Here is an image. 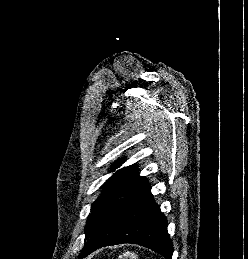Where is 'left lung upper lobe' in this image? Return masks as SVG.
<instances>
[{"label": "left lung upper lobe", "mask_w": 248, "mask_h": 259, "mask_svg": "<svg viewBox=\"0 0 248 259\" xmlns=\"http://www.w3.org/2000/svg\"><path fill=\"white\" fill-rule=\"evenodd\" d=\"M120 165V162L113 164L112 170ZM138 174L137 167L131 165L118 170L101 186V188L105 187V190L92 204V213L88 217L85 229V239H89L100 227L129 204L150 193L147 180Z\"/></svg>", "instance_id": "left-lung-upper-lobe-1"}]
</instances>
